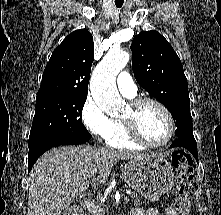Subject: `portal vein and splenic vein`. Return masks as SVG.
<instances>
[{
    "label": "portal vein and splenic vein",
    "mask_w": 221,
    "mask_h": 215,
    "mask_svg": "<svg viewBox=\"0 0 221 215\" xmlns=\"http://www.w3.org/2000/svg\"><path fill=\"white\" fill-rule=\"evenodd\" d=\"M80 198H82V196H80ZM125 200H129V198L125 197ZM84 203L89 210H98V211L102 210L99 206H96L95 204H93L87 199H84Z\"/></svg>",
    "instance_id": "18ae733b"
}]
</instances>
